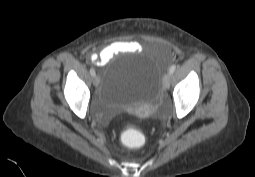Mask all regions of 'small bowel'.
I'll return each mask as SVG.
<instances>
[{"instance_id":"small-bowel-1","label":"small bowel","mask_w":255,"mask_h":177,"mask_svg":"<svg viewBox=\"0 0 255 177\" xmlns=\"http://www.w3.org/2000/svg\"><path fill=\"white\" fill-rule=\"evenodd\" d=\"M141 47L137 42L127 41L111 44L101 50L99 53H93L91 60L98 66L109 63L117 54L126 51H137Z\"/></svg>"}]
</instances>
